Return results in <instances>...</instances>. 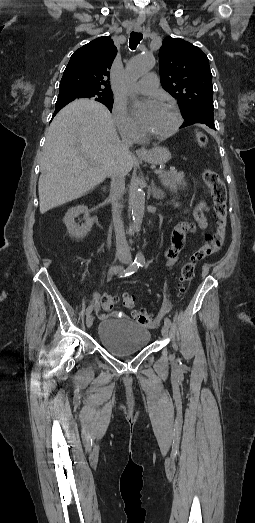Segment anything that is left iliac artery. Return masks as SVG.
I'll use <instances>...</instances> for the list:
<instances>
[{"label":"left iliac artery","mask_w":255,"mask_h":523,"mask_svg":"<svg viewBox=\"0 0 255 523\" xmlns=\"http://www.w3.org/2000/svg\"><path fill=\"white\" fill-rule=\"evenodd\" d=\"M145 264V261L144 260H140V266H144ZM164 323L168 326V327H171L172 326V323L170 321V319L168 317H165L164 319Z\"/></svg>","instance_id":"1"}]
</instances>
